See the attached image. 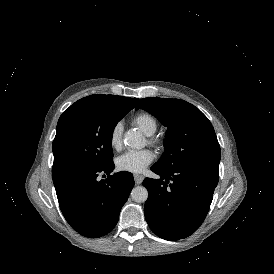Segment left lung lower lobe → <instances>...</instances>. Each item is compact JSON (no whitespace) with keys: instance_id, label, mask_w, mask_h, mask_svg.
I'll list each match as a JSON object with an SVG mask.
<instances>
[{"instance_id":"left-lung-lower-lobe-1","label":"left lung lower lobe","mask_w":274,"mask_h":274,"mask_svg":"<svg viewBox=\"0 0 274 274\" xmlns=\"http://www.w3.org/2000/svg\"><path fill=\"white\" fill-rule=\"evenodd\" d=\"M159 179L145 178V218L159 237L176 241L191 235L204 221L219 179V168L192 164L167 169L154 164Z\"/></svg>"}]
</instances>
